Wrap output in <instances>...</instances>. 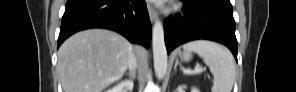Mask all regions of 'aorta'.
I'll return each mask as SVG.
<instances>
[{
    "mask_svg": "<svg viewBox=\"0 0 296 92\" xmlns=\"http://www.w3.org/2000/svg\"><path fill=\"white\" fill-rule=\"evenodd\" d=\"M153 59L156 76L159 80L165 77L167 71V50L164 41L163 25L156 20L152 30Z\"/></svg>",
    "mask_w": 296,
    "mask_h": 92,
    "instance_id": "1",
    "label": "aorta"
}]
</instances>
